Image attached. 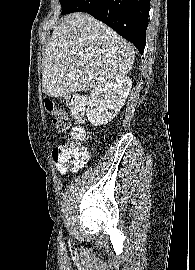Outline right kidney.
<instances>
[{
    "label": "right kidney",
    "mask_w": 195,
    "mask_h": 270,
    "mask_svg": "<svg viewBox=\"0 0 195 270\" xmlns=\"http://www.w3.org/2000/svg\"><path fill=\"white\" fill-rule=\"evenodd\" d=\"M131 88L132 80L121 77L93 89L86 109L88 121L94 126L108 124L124 105Z\"/></svg>",
    "instance_id": "obj_1"
}]
</instances>
